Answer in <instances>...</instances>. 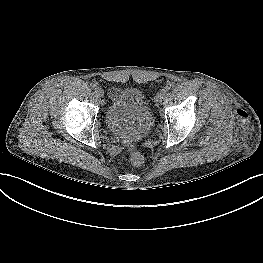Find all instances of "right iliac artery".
Listing matches in <instances>:
<instances>
[{
	"label": "right iliac artery",
	"mask_w": 263,
	"mask_h": 263,
	"mask_svg": "<svg viewBox=\"0 0 263 263\" xmlns=\"http://www.w3.org/2000/svg\"><path fill=\"white\" fill-rule=\"evenodd\" d=\"M93 88L96 89V90H99L100 89V84H94Z\"/></svg>",
	"instance_id": "right-iliac-artery-1"
}]
</instances>
